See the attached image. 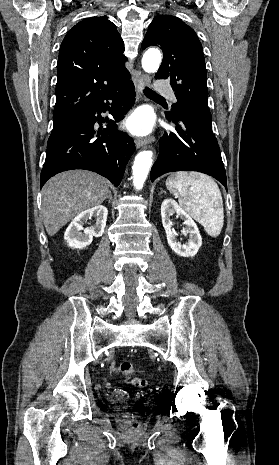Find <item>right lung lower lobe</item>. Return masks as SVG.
Returning a JSON list of instances; mask_svg holds the SVG:
<instances>
[{
  "instance_id": "right-lung-lower-lobe-1",
  "label": "right lung lower lobe",
  "mask_w": 279,
  "mask_h": 465,
  "mask_svg": "<svg viewBox=\"0 0 279 465\" xmlns=\"http://www.w3.org/2000/svg\"><path fill=\"white\" fill-rule=\"evenodd\" d=\"M134 97V85L129 80L83 108L72 119L70 126L47 147L40 177L41 187L51 176L71 169L94 171L118 186L135 145L126 133L115 131L116 122L131 108ZM105 100L113 101L110 113L115 121H111L103 131H95V123L102 122L101 113L110 109Z\"/></svg>"
}]
</instances>
